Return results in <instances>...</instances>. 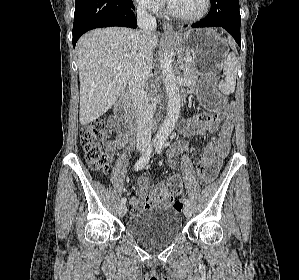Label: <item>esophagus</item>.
<instances>
[{
	"label": "esophagus",
	"instance_id": "34e87169",
	"mask_svg": "<svg viewBox=\"0 0 299 280\" xmlns=\"http://www.w3.org/2000/svg\"><path fill=\"white\" fill-rule=\"evenodd\" d=\"M162 27H163V31L166 34H172V33H174V28H173V25L171 23H169V22H163Z\"/></svg>",
	"mask_w": 299,
	"mask_h": 280
}]
</instances>
